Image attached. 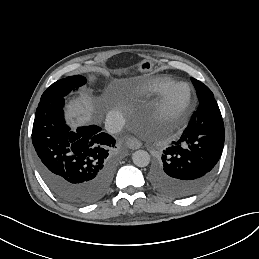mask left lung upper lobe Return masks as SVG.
I'll list each match as a JSON object with an SVG mask.
<instances>
[{"instance_id":"1","label":"left lung upper lobe","mask_w":259,"mask_h":259,"mask_svg":"<svg viewBox=\"0 0 259 259\" xmlns=\"http://www.w3.org/2000/svg\"><path fill=\"white\" fill-rule=\"evenodd\" d=\"M191 81H192L193 85L195 86L199 99L202 97L208 96V95H213L212 91L202 82H200L194 78H191Z\"/></svg>"}]
</instances>
